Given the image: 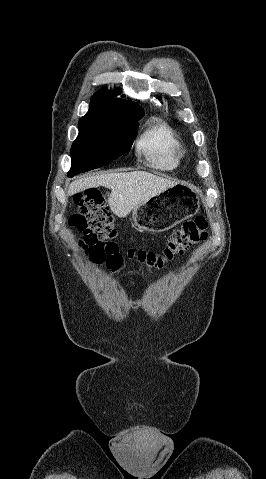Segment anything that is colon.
Returning <instances> with one entry per match:
<instances>
[{
    "instance_id": "obj_1",
    "label": "colon",
    "mask_w": 266,
    "mask_h": 479,
    "mask_svg": "<svg viewBox=\"0 0 266 479\" xmlns=\"http://www.w3.org/2000/svg\"><path fill=\"white\" fill-rule=\"evenodd\" d=\"M77 211L70 217V225L79 233V246L95 265H105L115 272L123 256L116 243L117 230L113 216L98 189H87L74 197ZM208 222L200 216L186 221L170 236L161 252L130 249L127 257L147 269H161L181 256L192 245L208 238Z\"/></svg>"
}]
</instances>
